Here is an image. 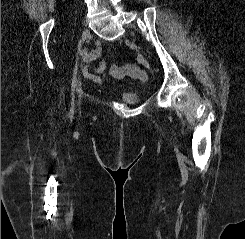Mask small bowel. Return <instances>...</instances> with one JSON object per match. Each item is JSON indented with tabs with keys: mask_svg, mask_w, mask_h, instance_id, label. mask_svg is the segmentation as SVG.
Instances as JSON below:
<instances>
[{
	"mask_svg": "<svg viewBox=\"0 0 245 239\" xmlns=\"http://www.w3.org/2000/svg\"><path fill=\"white\" fill-rule=\"evenodd\" d=\"M102 55V46L100 42L96 43V46L82 53L81 60L82 66L81 70L84 77L97 85H101L107 78V62L101 60L96 66L92 64L98 60Z\"/></svg>",
	"mask_w": 245,
	"mask_h": 239,
	"instance_id": "small-bowel-1",
	"label": "small bowel"
}]
</instances>
